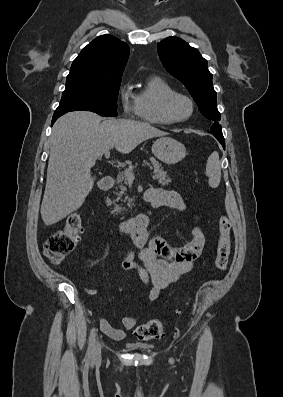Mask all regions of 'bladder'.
<instances>
[{"label":"bladder","mask_w":283,"mask_h":397,"mask_svg":"<svg viewBox=\"0 0 283 397\" xmlns=\"http://www.w3.org/2000/svg\"><path fill=\"white\" fill-rule=\"evenodd\" d=\"M132 347L136 348V349H146V348H148V346L143 345V344H134Z\"/></svg>","instance_id":"bladder-1"}]
</instances>
